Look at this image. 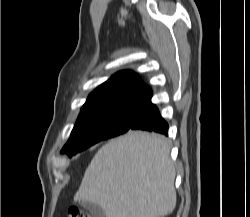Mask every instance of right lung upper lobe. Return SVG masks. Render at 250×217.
<instances>
[{
	"mask_svg": "<svg viewBox=\"0 0 250 217\" xmlns=\"http://www.w3.org/2000/svg\"><path fill=\"white\" fill-rule=\"evenodd\" d=\"M152 91L132 71H121L92 92L79 117L120 107L142 105Z\"/></svg>",
	"mask_w": 250,
	"mask_h": 217,
	"instance_id": "obj_1",
	"label": "right lung upper lobe"
}]
</instances>
